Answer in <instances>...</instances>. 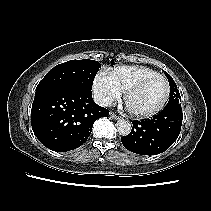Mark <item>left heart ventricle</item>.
Listing matches in <instances>:
<instances>
[{
	"mask_svg": "<svg viewBox=\"0 0 211 211\" xmlns=\"http://www.w3.org/2000/svg\"><path fill=\"white\" fill-rule=\"evenodd\" d=\"M166 94V84L161 79L147 83L138 91L132 93L127 100L129 107L137 112H148L156 108Z\"/></svg>",
	"mask_w": 211,
	"mask_h": 211,
	"instance_id": "left-heart-ventricle-1",
	"label": "left heart ventricle"
}]
</instances>
